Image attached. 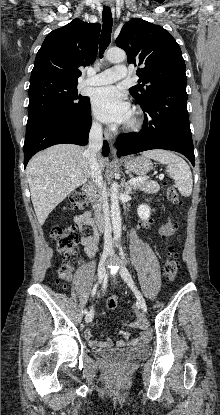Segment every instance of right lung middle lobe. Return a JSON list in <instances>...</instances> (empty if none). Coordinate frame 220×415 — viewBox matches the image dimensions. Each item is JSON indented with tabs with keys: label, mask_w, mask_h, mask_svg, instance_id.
Returning a JSON list of instances; mask_svg holds the SVG:
<instances>
[{
	"label": "right lung middle lobe",
	"mask_w": 220,
	"mask_h": 415,
	"mask_svg": "<svg viewBox=\"0 0 220 415\" xmlns=\"http://www.w3.org/2000/svg\"><path fill=\"white\" fill-rule=\"evenodd\" d=\"M77 84L48 77L30 80L27 125L54 113L71 119L79 117L90 99L78 94Z\"/></svg>",
	"instance_id": "obj_1"
}]
</instances>
